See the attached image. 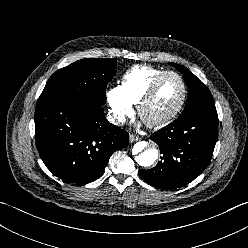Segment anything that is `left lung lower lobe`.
<instances>
[{
	"label": "left lung lower lobe",
	"mask_w": 248,
	"mask_h": 248,
	"mask_svg": "<svg viewBox=\"0 0 248 248\" xmlns=\"http://www.w3.org/2000/svg\"><path fill=\"white\" fill-rule=\"evenodd\" d=\"M217 135L216 109L177 118L151 136L160 148L161 161L152 169H140L139 175L160 189L187 185L209 165Z\"/></svg>",
	"instance_id": "1"
}]
</instances>
